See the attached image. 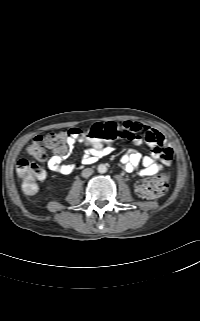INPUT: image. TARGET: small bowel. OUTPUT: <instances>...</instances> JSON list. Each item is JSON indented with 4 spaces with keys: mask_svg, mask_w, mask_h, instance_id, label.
<instances>
[{
    "mask_svg": "<svg viewBox=\"0 0 200 321\" xmlns=\"http://www.w3.org/2000/svg\"><path fill=\"white\" fill-rule=\"evenodd\" d=\"M93 126H99L103 130H114L121 138H126L136 145L146 143L150 147L151 152L149 155H142L137 151H128L121 157L120 162L122 168L126 172L131 173L137 170L140 176L148 177L156 175L164 165H167V163L164 161V157L168 151H172V149L170 148L164 135L157 129L133 121H124L122 123H97ZM77 130L78 128L70 129V131L73 133L69 137L64 150L54 149L53 156L47 160L46 158L41 160L46 161L47 167L51 171L63 175H70L74 172L75 166L71 163L64 162V157L67 154L70 146L73 144L74 139L80 138L76 134ZM109 153V147L103 146L102 144L97 146L93 145L91 148L85 151L83 160L85 162H92L94 159L106 156Z\"/></svg>",
    "mask_w": 200,
    "mask_h": 321,
    "instance_id": "c3829d8e",
    "label": "small bowel"
}]
</instances>
